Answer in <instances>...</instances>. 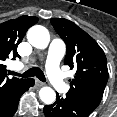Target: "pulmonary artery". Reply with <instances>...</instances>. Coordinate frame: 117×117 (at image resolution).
<instances>
[{"mask_svg": "<svg viewBox=\"0 0 117 117\" xmlns=\"http://www.w3.org/2000/svg\"><path fill=\"white\" fill-rule=\"evenodd\" d=\"M65 53V45L60 39H54L48 49L46 60V72L53 87L60 93L68 91L69 87L63 80L59 63ZM22 64L16 65L17 69H21Z\"/></svg>", "mask_w": 117, "mask_h": 117, "instance_id": "e3ab8cb5", "label": "pulmonary artery"}]
</instances>
